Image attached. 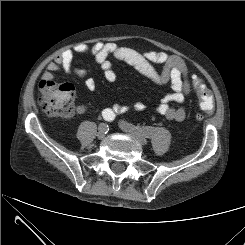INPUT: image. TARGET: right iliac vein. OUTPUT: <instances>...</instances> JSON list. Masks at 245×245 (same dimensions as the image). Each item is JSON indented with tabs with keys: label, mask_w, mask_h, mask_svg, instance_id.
Returning a JSON list of instances; mask_svg holds the SVG:
<instances>
[{
	"label": "right iliac vein",
	"mask_w": 245,
	"mask_h": 245,
	"mask_svg": "<svg viewBox=\"0 0 245 245\" xmlns=\"http://www.w3.org/2000/svg\"><path fill=\"white\" fill-rule=\"evenodd\" d=\"M97 137H98V139H103L105 137V132L102 129V126L101 125L99 126V131L97 133Z\"/></svg>",
	"instance_id": "right-iliac-vein-1"
}]
</instances>
